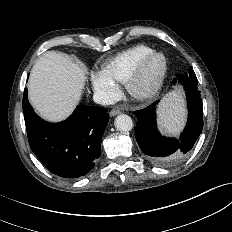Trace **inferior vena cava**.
<instances>
[{
  "instance_id": "1",
  "label": "inferior vena cava",
  "mask_w": 232,
  "mask_h": 232,
  "mask_svg": "<svg viewBox=\"0 0 232 232\" xmlns=\"http://www.w3.org/2000/svg\"><path fill=\"white\" fill-rule=\"evenodd\" d=\"M93 100L97 104L101 105H111L114 100L105 92H95L93 94Z\"/></svg>"
}]
</instances>
